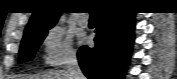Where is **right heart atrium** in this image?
<instances>
[{
    "mask_svg": "<svg viewBox=\"0 0 177 79\" xmlns=\"http://www.w3.org/2000/svg\"><path fill=\"white\" fill-rule=\"evenodd\" d=\"M43 59L46 66L58 67L75 60L73 41L58 27L49 28L42 40Z\"/></svg>",
    "mask_w": 177,
    "mask_h": 79,
    "instance_id": "1",
    "label": "right heart atrium"
}]
</instances>
